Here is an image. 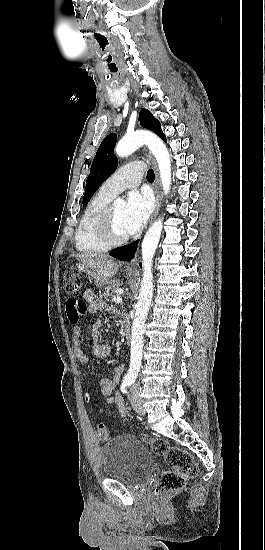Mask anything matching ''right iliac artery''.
I'll use <instances>...</instances> for the list:
<instances>
[{"instance_id":"right-iliac-artery-1","label":"right iliac artery","mask_w":265,"mask_h":550,"mask_svg":"<svg viewBox=\"0 0 265 550\" xmlns=\"http://www.w3.org/2000/svg\"><path fill=\"white\" fill-rule=\"evenodd\" d=\"M130 381H131V380H130L129 378H125V379L123 380V383H124V384H129Z\"/></svg>"}]
</instances>
